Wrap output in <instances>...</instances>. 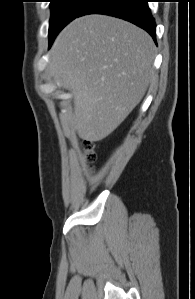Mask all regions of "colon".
Returning a JSON list of instances; mask_svg holds the SVG:
<instances>
[{
    "label": "colon",
    "mask_w": 195,
    "mask_h": 299,
    "mask_svg": "<svg viewBox=\"0 0 195 299\" xmlns=\"http://www.w3.org/2000/svg\"><path fill=\"white\" fill-rule=\"evenodd\" d=\"M83 148L86 152L87 159L89 161H93L95 158V152H94V145L91 141L85 140L83 143Z\"/></svg>",
    "instance_id": "1"
}]
</instances>
